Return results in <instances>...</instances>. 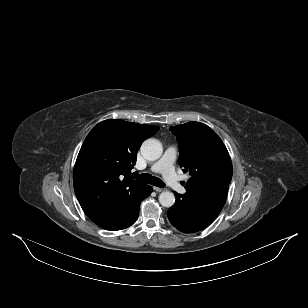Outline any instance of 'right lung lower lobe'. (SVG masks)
<instances>
[{
	"instance_id": "obj_1",
	"label": "right lung lower lobe",
	"mask_w": 308,
	"mask_h": 308,
	"mask_svg": "<svg viewBox=\"0 0 308 308\" xmlns=\"http://www.w3.org/2000/svg\"><path fill=\"white\" fill-rule=\"evenodd\" d=\"M151 192H152V188L146 185L143 191L141 192L140 196L138 197V199L133 204L132 211L129 213V215L124 220H122L119 224L112 225V226H105L102 228L106 230L116 231V230H122L124 228L131 226L133 223H135V221L138 218L139 206H140L141 201L144 198L148 197Z\"/></svg>"
}]
</instances>
